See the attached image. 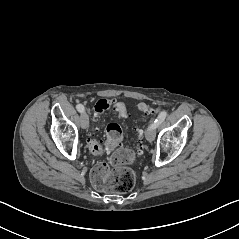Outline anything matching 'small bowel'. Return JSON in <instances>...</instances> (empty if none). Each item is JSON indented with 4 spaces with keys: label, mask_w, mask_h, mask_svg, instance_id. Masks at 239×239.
Listing matches in <instances>:
<instances>
[{
    "label": "small bowel",
    "mask_w": 239,
    "mask_h": 239,
    "mask_svg": "<svg viewBox=\"0 0 239 239\" xmlns=\"http://www.w3.org/2000/svg\"><path fill=\"white\" fill-rule=\"evenodd\" d=\"M112 101L114 103V109L118 112V114H120L121 112L126 113V107L123 102L117 101V100H112Z\"/></svg>",
    "instance_id": "small-bowel-1"
}]
</instances>
